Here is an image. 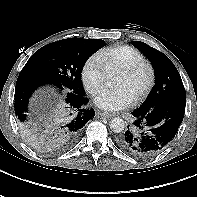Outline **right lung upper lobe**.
<instances>
[{
    "mask_svg": "<svg viewBox=\"0 0 197 197\" xmlns=\"http://www.w3.org/2000/svg\"><path fill=\"white\" fill-rule=\"evenodd\" d=\"M34 135H32L34 138L39 139L40 134H42V131L40 129H37L35 126H33Z\"/></svg>",
    "mask_w": 197,
    "mask_h": 197,
    "instance_id": "cb5924a9",
    "label": "right lung upper lobe"
}]
</instances>
